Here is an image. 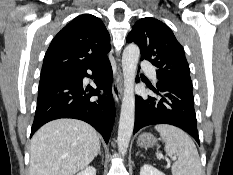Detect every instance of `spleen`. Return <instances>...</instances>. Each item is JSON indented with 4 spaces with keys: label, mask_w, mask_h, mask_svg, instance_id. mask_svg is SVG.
Returning a JSON list of instances; mask_svg holds the SVG:
<instances>
[{
    "label": "spleen",
    "mask_w": 233,
    "mask_h": 175,
    "mask_svg": "<svg viewBox=\"0 0 233 175\" xmlns=\"http://www.w3.org/2000/svg\"><path fill=\"white\" fill-rule=\"evenodd\" d=\"M155 129L165 142V152L177 157L172 166V175H202L197 148L190 136L178 127L159 124Z\"/></svg>",
    "instance_id": "1"
}]
</instances>
